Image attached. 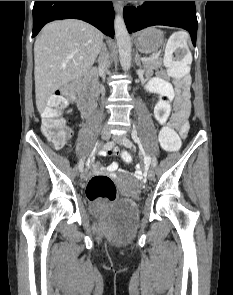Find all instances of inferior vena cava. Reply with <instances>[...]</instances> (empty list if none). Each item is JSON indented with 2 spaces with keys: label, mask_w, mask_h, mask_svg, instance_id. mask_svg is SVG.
<instances>
[{
  "label": "inferior vena cava",
  "mask_w": 233,
  "mask_h": 295,
  "mask_svg": "<svg viewBox=\"0 0 233 295\" xmlns=\"http://www.w3.org/2000/svg\"><path fill=\"white\" fill-rule=\"evenodd\" d=\"M99 71L103 78H105V73L110 67V62L108 60V53L107 50L103 51V53L100 54L99 57Z\"/></svg>",
  "instance_id": "602c4592"
}]
</instances>
